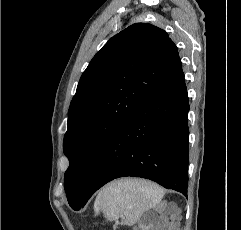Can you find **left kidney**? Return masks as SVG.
Segmentation results:
<instances>
[{
    "label": "left kidney",
    "mask_w": 241,
    "mask_h": 230,
    "mask_svg": "<svg viewBox=\"0 0 241 230\" xmlns=\"http://www.w3.org/2000/svg\"><path fill=\"white\" fill-rule=\"evenodd\" d=\"M141 230H147V228L145 226H141L140 227ZM134 230H138L137 228H135Z\"/></svg>",
    "instance_id": "5707ae66"
}]
</instances>
